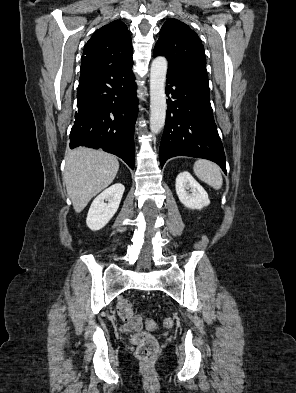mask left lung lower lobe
I'll return each mask as SVG.
<instances>
[{
  "mask_svg": "<svg viewBox=\"0 0 296 393\" xmlns=\"http://www.w3.org/2000/svg\"><path fill=\"white\" fill-rule=\"evenodd\" d=\"M168 109L159 158L190 156L217 163L226 173L225 154L210 104L208 79L167 73Z\"/></svg>",
  "mask_w": 296,
  "mask_h": 393,
  "instance_id": "0a47b994",
  "label": "left lung lower lobe"
}]
</instances>
